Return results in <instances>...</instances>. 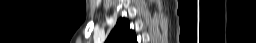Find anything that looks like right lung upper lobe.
<instances>
[{
	"label": "right lung upper lobe",
	"instance_id": "right-lung-upper-lobe-1",
	"mask_svg": "<svg viewBox=\"0 0 256 43\" xmlns=\"http://www.w3.org/2000/svg\"><path fill=\"white\" fill-rule=\"evenodd\" d=\"M108 43H137L135 32L130 30L129 21L120 18L111 31Z\"/></svg>",
	"mask_w": 256,
	"mask_h": 43
}]
</instances>
